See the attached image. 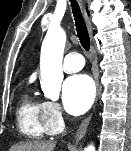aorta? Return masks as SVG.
<instances>
[{"mask_svg": "<svg viewBox=\"0 0 131 151\" xmlns=\"http://www.w3.org/2000/svg\"><path fill=\"white\" fill-rule=\"evenodd\" d=\"M66 42L64 30L50 28L44 39L41 59V88L46 97L56 100L59 96L63 81L62 59ZM85 151H95L93 145L85 148Z\"/></svg>", "mask_w": 131, "mask_h": 151, "instance_id": "obj_1", "label": "aorta"}]
</instances>
